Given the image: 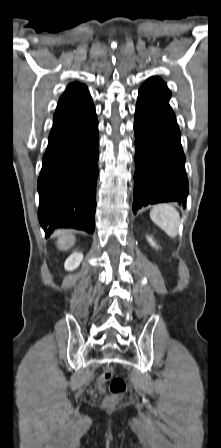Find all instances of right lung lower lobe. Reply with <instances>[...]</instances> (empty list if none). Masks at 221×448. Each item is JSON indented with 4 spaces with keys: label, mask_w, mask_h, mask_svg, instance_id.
<instances>
[{
    "label": "right lung lower lobe",
    "mask_w": 221,
    "mask_h": 448,
    "mask_svg": "<svg viewBox=\"0 0 221 448\" xmlns=\"http://www.w3.org/2000/svg\"><path fill=\"white\" fill-rule=\"evenodd\" d=\"M98 141L90 94L56 110L38 178V217L46 237L57 227L94 232Z\"/></svg>",
    "instance_id": "obj_1"
}]
</instances>
